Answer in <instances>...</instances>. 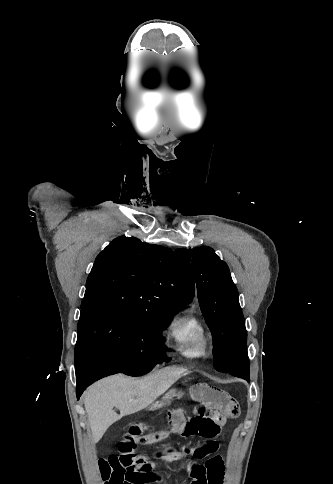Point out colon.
Wrapping results in <instances>:
<instances>
[{
  "instance_id": "obj_1",
  "label": "colon",
  "mask_w": 333,
  "mask_h": 484,
  "mask_svg": "<svg viewBox=\"0 0 333 484\" xmlns=\"http://www.w3.org/2000/svg\"><path fill=\"white\" fill-rule=\"evenodd\" d=\"M179 435V429L176 427H169L160 431L144 434L135 439L137 445H148L165 440H169Z\"/></svg>"
}]
</instances>
